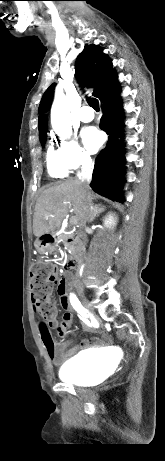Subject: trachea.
I'll return each instance as SVG.
<instances>
[{"label":"trachea","mask_w":165,"mask_h":461,"mask_svg":"<svg viewBox=\"0 0 165 461\" xmlns=\"http://www.w3.org/2000/svg\"><path fill=\"white\" fill-rule=\"evenodd\" d=\"M89 105L96 111H99V102L95 98H88Z\"/></svg>","instance_id":"1"}]
</instances>
